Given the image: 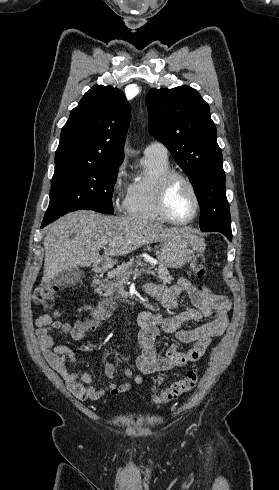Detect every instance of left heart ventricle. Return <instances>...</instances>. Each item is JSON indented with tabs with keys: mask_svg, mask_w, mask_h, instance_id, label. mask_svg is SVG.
<instances>
[{
	"mask_svg": "<svg viewBox=\"0 0 279 490\" xmlns=\"http://www.w3.org/2000/svg\"><path fill=\"white\" fill-rule=\"evenodd\" d=\"M169 208L171 214L177 220L188 219L194 210V198L188 184L178 181L172 189L169 198Z\"/></svg>",
	"mask_w": 279,
	"mask_h": 490,
	"instance_id": "b2bd125f",
	"label": "left heart ventricle"
}]
</instances>
